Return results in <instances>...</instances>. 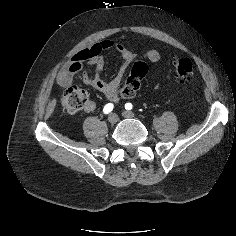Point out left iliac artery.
<instances>
[{
    "mask_svg": "<svg viewBox=\"0 0 236 236\" xmlns=\"http://www.w3.org/2000/svg\"><path fill=\"white\" fill-rule=\"evenodd\" d=\"M132 107H133V105H132L131 103H126V104H125V109H126V110H131Z\"/></svg>",
    "mask_w": 236,
    "mask_h": 236,
    "instance_id": "obj_1",
    "label": "left iliac artery"
}]
</instances>
